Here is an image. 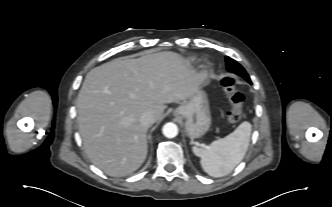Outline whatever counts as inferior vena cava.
Masks as SVG:
<instances>
[{"instance_id":"obj_1","label":"inferior vena cava","mask_w":332,"mask_h":207,"mask_svg":"<svg viewBox=\"0 0 332 207\" xmlns=\"http://www.w3.org/2000/svg\"><path fill=\"white\" fill-rule=\"evenodd\" d=\"M140 122L144 127L149 128L155 122V117L152 113H144L140 117Z\"/></svg>"}]
</instances>
